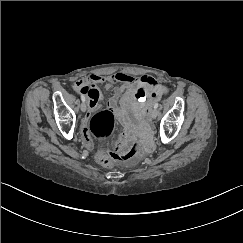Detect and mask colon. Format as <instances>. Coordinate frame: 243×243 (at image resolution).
Returning a JSON list of instances; mask_svg holds the SVG:
<instances>
[{
	"instance_id": "1",
	"label": "colon",
	"mask_w": 243,
	"mask_h": 243,
	"mask_svg": "<svg viewBox=\"0 0 243 243\" xmlns=\"http://www.w3.org/2000/svg\"><path fill=\"white\" fill-rule=\"evenodd\" d=\"M115 127V116L110 110L97 112L89 121V129L99 140H107L113 133ZM140 152V145L133 143L128 149L119 153H101L98 156L102 164H108L110 159L127 161L135 158Z\"/></svg>"
}]
</instances>
